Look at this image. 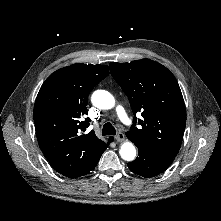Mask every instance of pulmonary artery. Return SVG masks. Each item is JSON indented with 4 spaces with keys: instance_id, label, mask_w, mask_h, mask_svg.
Masks as SVG:
<instances>
[{
    "instance_id": "obj_1",
    "label": "pulmonary artery",
    "mask_w": 221,
    "mask_h": 221,
    "mask_svg": "<svg viewBox=\"0 0 221 221\" xmlns=\"http://www.w3.org/2000/svg\"><path fill=\"white\" fill-rule=\"evenodd\" d=\"M116 114L118 116V118L125 124H129L130 120L124 110V108L121 105H118L116 107Z\"/></svg>"
}]
</instances>
